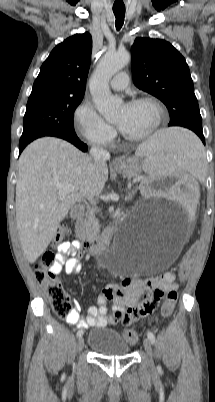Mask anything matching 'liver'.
<instances>
[{"label":"liver","mask_w":215,"mask_h":402,"mask_svg":"<svg viewBox=\"0 0 215 402\" xmlns=\"http://www.w3.org/2000/svg\"><path fill=\"white\" fill-rule=\"evenodd\" d=\"M107 180L106 163L96 164L62 139L40 138L24 149L16 184V223L28 262L34 263L47 249L72 206L100 195ZM59 184L76 190L60 198Z\"/></svg>","instance_id":"6515ba94"}]
</instances>
